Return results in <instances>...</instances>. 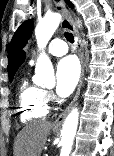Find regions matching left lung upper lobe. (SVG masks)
<instances>
[{
	"label": "left lung upper lobe",
	"instance_id": "left-lung-upper-lobe-1",
	"mask_svg": "<svg viewBox=\"0 0 114 156\" xmlns=\"http://www.w3.org/2000/svg\"><path fill=\"white\" fill-rule=\"evenodd\" d=\"M67 3L71 8H73V5L71 2L67 1ZM32 27H33L32 20H27L23 24H21V26L15 32V34L11 40V43L9 45L8 68H9L14 56L16 55V53L26 45L27 41L31 37Z\"/></svg>",
	"mask_w": 114,
	"mask_h": 156
}]
</instances>
